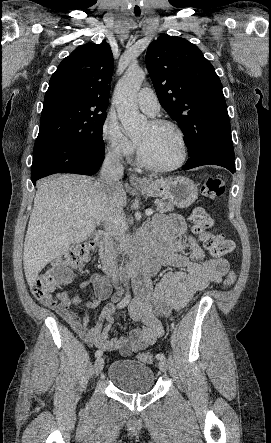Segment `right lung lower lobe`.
Segmentation results:
<instances>
[{
    "mask_svg": "<svg viewBox=\"0 0 271 443\" xmlns=\"http://www.w3.org/2000/svg\"><path fill=\"white\" fill-rule=\"evenodd\" d=\"M104 148L67 144L44 146L33 155L31 180L35 182L54 173L95 174L103 162Z\"/></svg>",
    "mask_w": 271,
    "mask_h": 443,
    "instance_id": "obj_1",
    "label": "right lung lower lobe"
}]
</instances>
